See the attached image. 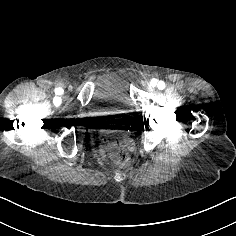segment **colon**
I'll return each mask as SVG.
<instances>
[{"label":"colon","instance_id":"obj_1","mask_svg":"<svg viewBox=\"0 0 236 236\" xmlns=\"http://www.w3.org/2000/svg\"><path fill=\"white\" fill-rule=\"evenodd\" d=\"M107 152L110 158L120 167H125L129 163V154L125 146L119 141H109L107 143Z\"/></svg>","mask_w":236,"mask_h":236}]
</instances>
